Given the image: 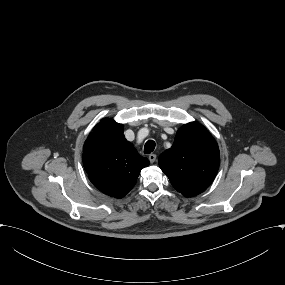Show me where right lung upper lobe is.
Listing matches in <instances>:
<instances>
[{
  "label": "right lung upper lobe",
  "mask_w": 285,
  "mask_h": 285,
  "mask_svg": "<svg viewBox=\"0 0 285 285\" xmlns=\"http://www.w3.org/2000/svg\"><path fill=\"white\" fill-rule=\"evenodd\" d=\"M123 125L103 119L83 147V164L94 186L109 196L121 198L135 185L149 160L139 155L124 135Z\"/></svg>",
  "instance_id": "1"
}]
</instances>
